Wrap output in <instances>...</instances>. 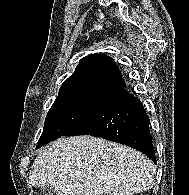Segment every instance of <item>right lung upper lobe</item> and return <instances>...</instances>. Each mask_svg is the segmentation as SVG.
<instances>
[{
  "mask_svg": "<svg viewBox=\"0 0 189 195\" xmlns=\"http://www.w3.org/2000/svg\"><path fill=\"white\" fill-rule=\"evenodd\" d=\"M125 86L114 60L102 54H93L80 60L76 71L63 83L59 93L88 90L110 95Z\"/></svg>",
  "mask_w": 189,
  "mask_h": 195,
  "instance_id": "obj_1",
  "label": "right lung upper lobe"
}]
</instances>
